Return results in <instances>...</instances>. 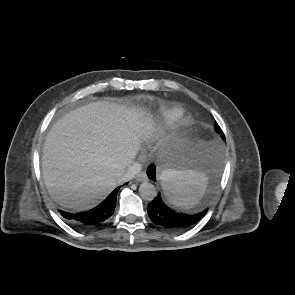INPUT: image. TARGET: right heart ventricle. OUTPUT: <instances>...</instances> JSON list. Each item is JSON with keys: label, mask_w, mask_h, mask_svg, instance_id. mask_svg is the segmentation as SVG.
<instances>
[{"label": "right heart ventricle", "mask_w": 295, "mask_h": 295, "mask_svg": "<svg viewBox=\"0 0 295 295\" xmlns=\"http://www.w3.org/2000/svg\"><path fill=\"white\" fill-rule=\"evenodd\" d=\"M182 115L178 108H172L163 112L156 120L155 124L147 130L146 138L153 139L157 137L169 124Z\"/></svg>", "instance_id": "1"}]
</instances>
